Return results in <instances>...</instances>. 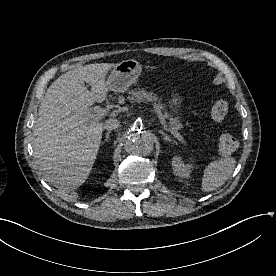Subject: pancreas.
Returning <instances> with one entry per match:
<instances>
[{"instance_id": "pancreas-1", "label": "pancreas", "mask_w": 276, "mask_h": 276, "mask_svg": "<svg viewBox=\"0 0 276 276\" xmlns=\"http://www.w3.org/2000/svg\"><path fill=\"white\" fill-rule=\"evenodd\" d=\"M128 93L130 95L128 96V100L131 103L151 102L153 103V108L155 112L161 113L162 111L165 110V106L160 102L159 97L152 92H147L144 88L142 89L138 88V89L129 91ZM164 117L168 118L167 112H164ZM169 125L176 130H180L182 128V124L180 120H178V118H170Z\"/></svg>"}]
</instances>
